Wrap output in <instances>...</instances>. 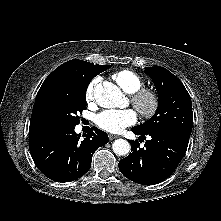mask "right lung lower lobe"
I'll use <instances>...</instances> for the list:
<instances>
[{"label": "right lung lower lobe", "mask_w": 221, "mask_h": 221, "mask_svg": "<svg viewBox=\"0 0 221 221\" xmlns=\"http://www.w3.org/2000/svg\"><path fill=\"white\" fill-rule=\"evenodd\" d=\"M74 127L29 134V148L38 169L56 182H68L83 176L91 167L97 148L108 143V135L96 127L80 140Z\"/></svg>", "instance_id": "1"}]
</instances>
